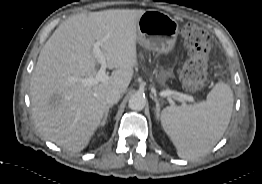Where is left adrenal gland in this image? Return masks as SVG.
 Masks as SVG:
<instances>
[{"instance_id": "a2214340", "label": "left adrenal gland", "mask_w": 262, "mask_h": 184, "mask_svg": "<svg viewBox=\"0 0 262 184\" xmlns=\"http://www.w3.org/2000/svg\"><path fill=\"white\" fill-rule=\"evenodd\" d=\"M153 100L156 103V108H155V113H156V117H159V111H160V103L159 100L157 98H153Z\"/></svg>"}]
</instances>
